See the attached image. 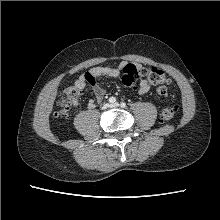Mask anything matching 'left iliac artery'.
Instances as JSON below:
<instances>
[{
	"label": "left iliac artery",
	"instance_id": "1",
	"mask_svg": "<svg viewBox=\"0 0 220 220\" xmlns=\"http://www.w3.org/2000/svg\"><path fill=\"white\" fill-rule=\"evenodd\" d=\"M120 106H121L122 108H125V107H126V103L122 102V103L120 104Z\"/></svg>",
	"mask_w": 220,
	"mask_h": 220
}]
</instances>
